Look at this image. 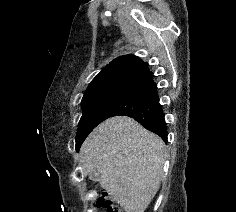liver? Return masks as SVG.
I'll return each mask as SVG.
<instances>
[{
  "label": "liver",
  "instance_id": "obj_1",
  "mask_svg": "<svg viewBox=\"0 0 236 212\" xmlns=\"http://www.w3.org/2000/svg\"><path fill=\"white\" fill-rule=\"evenodd\" d=\"M166 147L134 119L112 117L98 125L80 149L84 173L96 170L100 186L126 212H144L157 193Z\"/></svg>",
  "mask_w": 236,
  "mask_h": 212
}]
</instances>
